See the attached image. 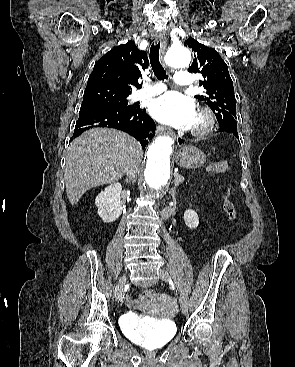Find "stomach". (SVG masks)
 Segmentation results:
<instances>
[{
  "label": "stomach",
  "mask_w": 295,
  "mask_h": 367,
  "mask_svg": "<svg viewBox=\"0 0 295 367\" xmlns=\"http://www.w3.org/2000/svg\"><path fill=\"white\" fill-rule=\"evenodd\" d=\"M174 160L184 169H196L206 162V155L197 147L187 145L175 153Z\"/></svg>",
  "instance_id": "stomach-1"
}]
</instances>
